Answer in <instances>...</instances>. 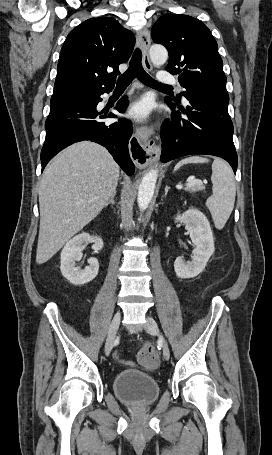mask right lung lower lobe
Returning <instances> with one entry per match:
<instances>
[{
  "mask_svg": "<svg viewBox=\"0 0 272 455\" xmlns=\"http://www.w3.org/2000/svg\"><path fill=\"white\" fill-rule=\"evenodd\" d=\"M107 90L89 97L82 103H68L54 109L45 122L46 139L41 150L42 170L46 164L62 149L82 140H90L106 147L114 160L128 174L135 171L130 158L128 143L132 135V126L128 120L106 124L103 119L115 118L107 112H97L96 106L102 100L100 95ZM127 99L119 100L115 107L120 113L125 111Z\"/></svg>",
  "mask_w": 272,
  "mask_h": 455,
  "instance_id": "1",
  "label": "right lung lower lobe"
}]
</instances>
